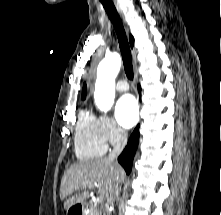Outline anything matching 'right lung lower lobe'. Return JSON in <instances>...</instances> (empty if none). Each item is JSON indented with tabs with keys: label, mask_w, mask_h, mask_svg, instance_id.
Listing matches in <instances>:
<instances>
[{
	"label": "right lung lower lobe",
	"mask_w": 221,
	"mask_h": 215,
	"mask_svg": "<svg viewBox=\"0 0 221 215\" xmlns=\"http://www.w3.org/2000/svg\"><path fill=\"white\" fill-rule=\"evenodd\" d=\"M139 93L141 91L140 87H138ZM139 140V126L135 128L130 139L127 143V146L118 157V162L123 166L126 173L129 174L132 168L133 158L136 152V148Z\"/></svg>",
	"instance_id": "98d812e1"
}]
</instances>
